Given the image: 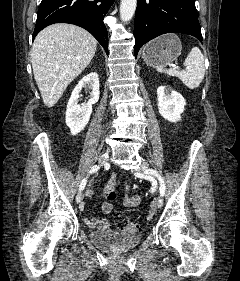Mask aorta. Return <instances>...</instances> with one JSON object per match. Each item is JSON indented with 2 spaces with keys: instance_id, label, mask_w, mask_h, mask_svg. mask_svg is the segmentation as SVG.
<instances>
[{
  "instance_id": "aorta-1",
  "label": "aorta",
  "mask_w": 240,
  "mask_h": 281,
  "mask_svg": "<svg viewBox=\"0 0 240 281\" xmlns=\"http://www.w3.org/2000/svg\"><path fill=\"white\" fill-rule=\"evenodd\" d=\"M137 0H121L120 17L123 22L130 21L135 13Z\"/></svg>"
}]
</instances>
